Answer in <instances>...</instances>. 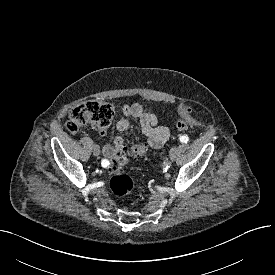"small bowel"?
Masks as SVG:
<instances>
[{
  "mask_svg": "<svg viewBox=\"0 0 275 275\" xmlns=\"http://www.w3.org/2000/svg\"><path fill=\"white\" fill-rule=\"evenodd\" d=\"M129 117L139 120L142 133L146 137L149 147L154 149L161 148L169 139V129L164 126H158V116L139 103L125 104L121 107V116L116 123V127L120 132L129 128ZM101 132L104 133V131ZM103 154L106 160L110 161L125 156L126 151L122 136H116L113 144L105 145Z\"/></svg>",
  "mask_w": 275,
  "mask_h": 275,
  "instance_id": "c3829d8e",
  "label": "small bowel"
}]
</instances>
